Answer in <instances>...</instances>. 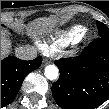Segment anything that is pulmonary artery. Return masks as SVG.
I'll use <instances>...</instances> for the list:
<instances>
[{"instance_id": "pulmonary-artery-1", "label": "pulmonary artery", "mask_w": 109, "mask_h": 109, "mask_svg": "<svg viewBox=\"0 0 109 109\" xmlns=\"http://www.w3.org/2000/svg\"><path fill=\"white\" fill-rule=\"evenodd\" d=\"M41 49L45 52V49L43 47Z\"/></svg>"}]
</instances>
